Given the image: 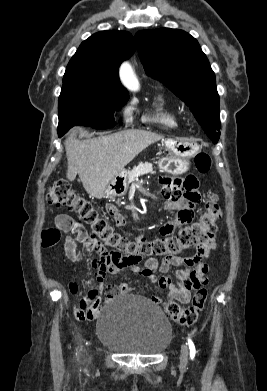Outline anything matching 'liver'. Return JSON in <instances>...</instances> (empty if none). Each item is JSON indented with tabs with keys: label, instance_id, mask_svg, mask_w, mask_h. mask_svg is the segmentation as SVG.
<instances>
[{
	"label": "liver",
	"instance_id": "1",
	"mask_svg": "<svg viewBox=\"0 0 267 391\" xmlns=\"http://www.w3.org/2000/svg\"><path fill=\"white\" fill-rule=\"evenodd\" d=\"M74 128L64 142L67 178L77 174L88 194L100 199L107 184L140 152L163 139L159 134L131 129L97 138L78 140Z\"/></svg>",
	"mask_w": 267,
	"mask_h": 391
}]
</instances>
